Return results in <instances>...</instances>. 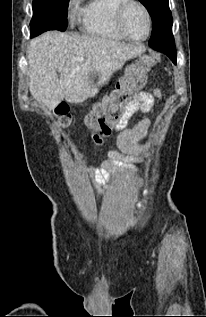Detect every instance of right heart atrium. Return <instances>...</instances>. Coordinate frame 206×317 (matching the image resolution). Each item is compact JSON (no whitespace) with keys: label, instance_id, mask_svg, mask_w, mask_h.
I'll list each match as a JSON object with an SVG mask.
<instances>
[{"label":"right heart atrium","instance_id":"right-heart-atrium-1","mask_svg":"<svg viewBox=\"0 0 206 317\" xmlns=\"http://www.w3.org/2000/svg\"><path fill=\"white\" fill-rule=\"evenodd\" d=\"M79 1H80V0H70V1H69V5H70L71 7H74V6L78 5Z\"/></svg>","mask_w":206,"mask_h":317}]
</instances>
